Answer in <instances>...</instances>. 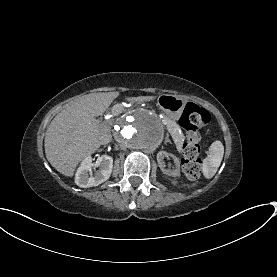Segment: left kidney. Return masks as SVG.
Listing matches in <instances>:
<instances>
[{"mask_svg": "<svg viewBox=\"0 0 277 277\" xmlns=\"http://www.w3.org/2000/svg\"><path fill=\"white\" fill-rule=\"evenodd\" d=\"M169 156L173 158L174 162L176 163V165L178 167L177 169H175V170H168V169L164 168V161L163 160H164L165 157H169ZM157 162H158V165H159L161 171L164 174H166L168 176H172V177H178V176H180V169H179V167H180V161L173 154L167 153L165 151H160L157 154Z\"/></svg>", "mask_w": 277, "mask_h": 277, "instance_id": "1", "label": "left kidney"}]
</instances>
